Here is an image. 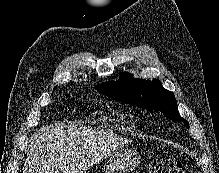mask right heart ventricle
I'll use <instances>...</instances> for the list:
<instances>
[{"instance_id": "right-heart-ventricle-1", "label": "right heart ventricle", "mask_w": 219, "mask_h": 173, "mask_svg": "<svg viewBox=\"0 0 219 173\" xmlns=\"http://www.w3.org/2000/svg\"><path fill=\"white\" fill-rule=\"evenodd\" d=\"M110 117L113 118V120H121L122 119L121 114H119L118 112L113 113Z\"/></svg>"}]
</instances>
